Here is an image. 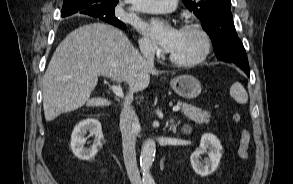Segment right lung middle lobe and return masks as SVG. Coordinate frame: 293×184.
Wrapping results in <instances>:
<instances>
[{
  "mask_svg": "<svg viewBox=\"0 0 293 184\" xmlns=\"http://www.w3.org/2000/svg\"><path fill=\"white\" fill-rule=\"evenodd\" d=\"M64 4H66V3L64 2ZM89 7H90L91 11L94 12L100 18L118 21V19L115 18V10L114 9H102L101 7H99L97 5H90Z\"/></svg>",
  "mask_w": 293,
  "mask_h": 184,
  "instance_id": "1",
  "label": "right lung middle lobe"
}]
</instances>
